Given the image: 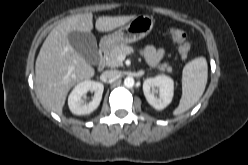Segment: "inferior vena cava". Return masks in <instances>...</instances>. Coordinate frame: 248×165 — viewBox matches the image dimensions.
I'll return each instance as SVG.
<instances>
[{
    "label": "inferior vena cava",
    "mask_w": 248,
    "mask_h": 165,
    "mask_svg": "<svg viewBox=\"0 0 248 165\" xmlns=\"http://www.w3.org/2000/svg\"><path fill=\"white\" fill-rule=\"evenodd\" d=\"M120 75L118 70H106L102 73L104 79H115Z\"/></svg>",
    "instance_id": "602c4592"
}]
</instances>
